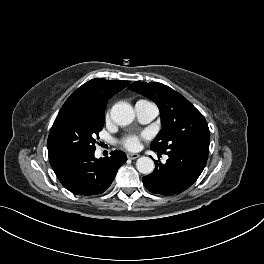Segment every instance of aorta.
I'll return each mask as SVG.
<instances>
[{
  "mask_svg": "<svg viewBox=\"0 0 264 264\" xmlns=\"http://www.w3.org/2000/svg\"><path fill=\"white\" fill-rule=\"evenodd\" d=\"M110 113L111 119L118 125H129L135 118L133 108L127 103H116ZM154 166V161L150 157H140L136 162L137 170L146 175L153 172Z\"/></svg>",
  "mask_w": 264,
  "mask_h": 264,
  "instance_id": "aorta-1",
  "label": "aorta"
}]
</instances>
